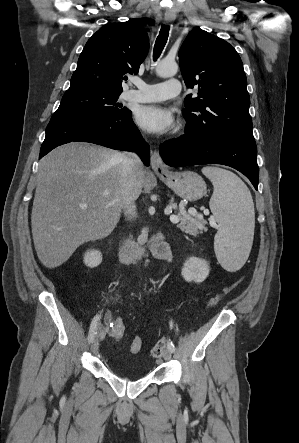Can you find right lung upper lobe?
<instances>
[{"mask_svg": "<svg viewBox=\"0 0 299 443\" xmlns=\"http://www.w3.org/2000/svg\"><path fill=\"white\" fill-rule=\"evenodd\" d=\"M149 50L148 35L139 19L111 23L86 43L70 88L94 87L122 92L125 74H137Z\"/></svg>", "mask_w": 299, "mask_h": 443, "instance_id": "cb5924a9", "label": "right lung upper lobe"}]
</instances>
